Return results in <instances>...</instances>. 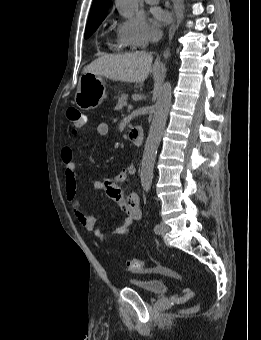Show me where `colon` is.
Here are the masks:
<instances>
[{"label":"colon","instance_id":"5ec220e1","mask_svg":"<svg viewBox=\"0 0 261 340\" xmlns=\"http://www.w3.org/2000/svg\"><path fill=\"white\" fill-rule=\"evenodd\" d=\"M66 116L68 125L73 133H77L85 124L84 115L75 107L68 108ZM127 267L131 271H139L143 267V261L138 258L129 259Z\"/></svg>","mask_w":261,"mask_h":340}]
</instances>
